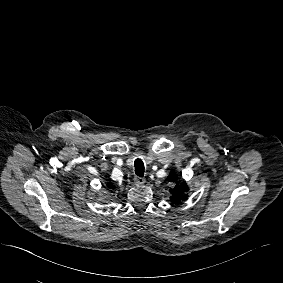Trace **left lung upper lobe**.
Returning <instances> with one entry per match:
<instances>
[{
	"label": "left lung upper lobe",
	"mask_w": 283,
	"mask_h": 283,
	"mask_svg": "<svg viewBox=\"0 0 283 283\" xmlns=\"http://www.w3.org/2000/svg\"><path fill=\"white\" fill-rule=\"evenodd\" d=\"M168 181L175 182L176 186L174 189L170 190L172 196L170 197L171 202L178 203L181 199H186L187 194H184L188 191V187L185 182L179 184L177 181V174L174 171H171L168 178Z\"/></svg>",
	"instance_id": "1"
}]
</instances>
